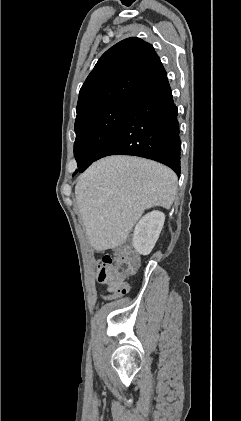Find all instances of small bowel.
Returning <instances> with one entry per match:
<instances>
[{
    "mask_svg": "<svg viewBox=\"0 0 241 421\" xmlns=\"http://www.w3.org/2000/svg\"><path fill=\"white\" fill-rule=\"evenodd\" d=\"M105 284L107 286V295L102 297L104 300L109 301V300L120 298L128 290V286H126V291H124L122 288L111 286L108 283H105Z\"/></svg>",
    "mask_w": 241,
    "mask_h": 421,
    "instance_id": "c3829d8e",
    "label": "small bowel"
}]
</instances>
